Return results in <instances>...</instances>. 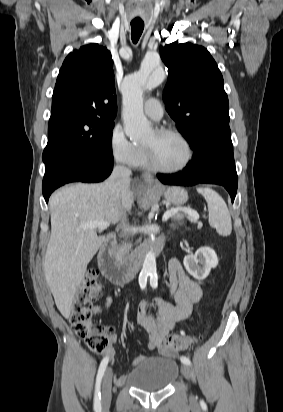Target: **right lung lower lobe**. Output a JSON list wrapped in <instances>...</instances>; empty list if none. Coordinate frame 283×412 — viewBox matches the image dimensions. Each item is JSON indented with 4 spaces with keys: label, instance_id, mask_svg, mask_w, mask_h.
Segmentation results:
<instances>
[{
    "label": "right lung lower lobe",
    "instance_id": "1",
    "mask_svg": "<svg viewBox=\"0 0 283 412\" xmlns=\"http://www.w3.org/2000/svg\"><path fill=\"white\" fill-rule=\"evenodd\" d=\"M113 161L104 158L73 159L64 157L46 164L42 191L48 202L51 193L70 182H100L107 178Z\"/></svg>",
    "mask_w": 283,
    "mask_h": 412
}]
</instances>
